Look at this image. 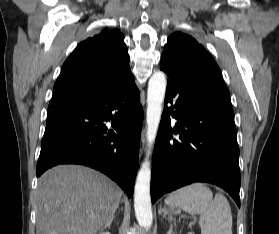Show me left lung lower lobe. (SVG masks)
I'll return each mask as SVG.
<instances>
[{
  "mask_svg": "<svg viewBox=\"0 0 279 234\" xmlns=\"http://www.w3.org/2000/svg\"><path fill=\"white\" fill-rule=\"evenodd\" d=\"M160 69L168 85L153 154L152 202L184 185L208 182L226 190L240 207L239 147L223 79L187 69L165 55ZM170 116L177 120L173 128Z\"/></svg>",
  "mask_w": 279,
  "mask_h": 234,
  "instance_id": "1",
  "label": "left lung lower lobe"
}]
</instances>
